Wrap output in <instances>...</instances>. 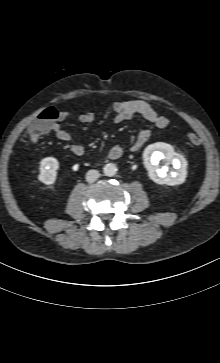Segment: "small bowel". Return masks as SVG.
<instances>
[{
  "label": "small bowel",
  "instance_id": "c3829d8e",
  "mask_svg": "<svg viewBox=\"0 0 220 363\" xmlns=\"http://www.w3.org/2000/svg\"><path fill=\"white\" fill-rule=\"evenodd\" d=\"M113 111L115 114L114 120L116 122H122L134 116H140L159 130L166 128L169 124V119L167 117L158 114L149 104L143 101H119L114 103ZM70 117L71 114L69 112L61 111L59 113L58 121H63ZM77 120L81 123H91L94 121V115L91 112H84L77 116ZM58 121L54 122L52 125L53 132L59 140L69 142L71 140L69 133L61 127ZM150 137L151 131L149 129L142 130L131 145L130 150L133 152L139 151L149 141ZM71 152L77 156H81L84 154V147L81 144H72ZM122 153L123 148L119 145H114L108 150L107 157L117 159Z\"/></svg>",
  "mask_w": 220,
  "mask_h": 363
}]
</instances>
